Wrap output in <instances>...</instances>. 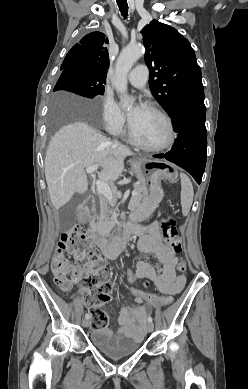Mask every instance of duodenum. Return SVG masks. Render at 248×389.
<instances>
[{
  "mask_svg": "<svg viewBox=\"0 0 248 389\" xmlns=\"http://www.w3.org/2000/svg\"><path fill=\"white\" fill-rule=\"evenodd\" d=\"M93 205V200H89L86 204L80 206L79 217L82 222L87 219L89 211L93 207ZM136 232H138V229L133 224L128 226L127 231L119 239L116 238L113 241H109L107 239L106 234H102L101 236L94 235L93 241L96 247L100 250V252L106 259L113 260L117 258L120 254H122L125 250H127L132 240V237Z\"/></svg>",
  "mask_w": 248,
  "mask_h": 389,
  "instance_id": "410a0bca",
  "label": "duodenum"
}]
</instances>
